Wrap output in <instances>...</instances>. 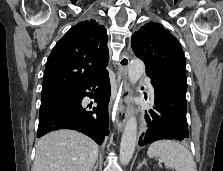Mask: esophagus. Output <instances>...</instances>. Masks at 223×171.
<instances>
[{
	"label": "esophagus",
	"mask_w": 223,
	"mask_h": 171,
	"mask_svg": "<svg viewBox=\"0 0 223 171\" xmlns=\"http://www.w3.org/2000/svg\"><path fill=\"white\" fill-rule=\"evenodd\" d=\"M129 64V58L127 54H123L121 56L120 61L118 62V83L119 89L117 94V99L119 102L118 111L116 116V127L118 131H121L125 125L126 117H127V99L130 94V87L127 81V67ZM113 107V102L110 103V108ZM115 107V104H114ZM116 113V110H115Z\"/></svg>",
	"instance_id": "34e87169"
}]
</instances>
